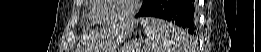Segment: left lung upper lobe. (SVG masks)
Returning <instances> with one entry per match:
<instances>
[{
	"instance_id": "1",
	"label": "left lung upper lobe",
	"mask_w": 261,
	"mask_h": 52,
	"mask_svg": "<svg viewBox=\"0 0 261 52\" xmlns=\"http://www.w3.org/2000/svg\"><path fill=\"white\" fill-rule=\"evenodd\" d=\"M153 2V0H144V4H143V8L147 7L148 5H150Z\"/></svg>"
}]
</instances>
